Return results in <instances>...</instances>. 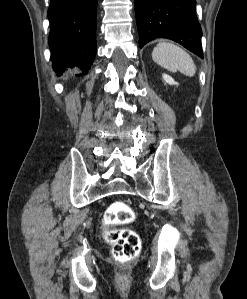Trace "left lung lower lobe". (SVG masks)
<instances>
[{"instance_id": "1", "label": "left lung lower lobe", "mask_w": 247, "mask_h": 299, "mask_svg": "<svg viewBox=\"0 0 247 299\" xmlns=\"http://www.w3.org/2000/svg\"><path fill=\"white\" fill-rule=\"evenodd\" d=\"M196 0H135L139 46L155 38L178 42L203 58Z\"/></svg>"}]
</instances>
